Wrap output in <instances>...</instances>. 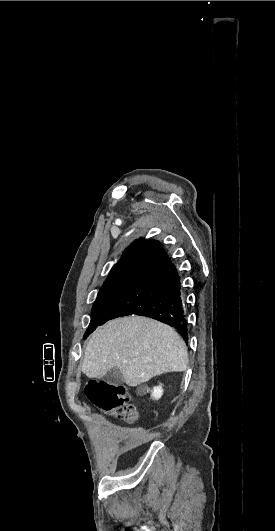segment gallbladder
I'll list each match as a JSON object with an SVG mask.
<instances>
[{
  "label": "gallbladder",
  "mask_w": 275,
  "mask_h": 531,
  "mask_svg": "<svg viewBox=\"0 0 275 531\" xmlns=\"http://www.w3.org/2000/svg\"><path fill=\"white\" fill-rule=\"evenodd\" d=\"M104 381H106L108 385H113V387H117V385H123V373H121V371H118L117 367H113V369H110L107 375H105Z\"/></svg>",
  "instance_id": "gallbladder-1"
}]
</instances>
